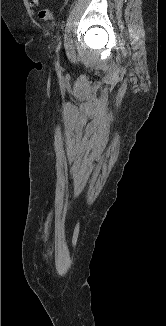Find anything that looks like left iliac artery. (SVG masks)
I'll return each instance as SVG.
<instances>
[{"label":"left iliac artery","mask_w":166,"mask_h":326,"mask_svg":"<svg viewBox=\"0 0 166 326\" xmlns=\"http://www.w3.org/2000/svg\"><path fill=\"white\" fill-rule=\"evenodd\" d=\"M61 43H59L57 50H60Z\"/></svg>","instance_id":"obj_1"}]
</instances>
